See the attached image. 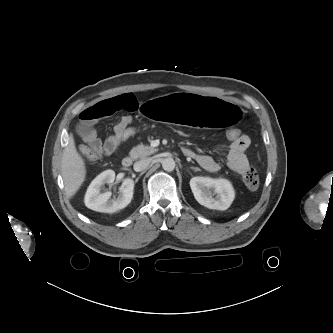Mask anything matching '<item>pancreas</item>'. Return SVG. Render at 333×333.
Instances as JSON below:
<instances>
[{"mask_svg": "<svg viewBox=\"0 0 333 333\" xmlns=\"http://www.w3.org/2000/svg\"><path fill=\"white\" fill-rule=\"evenodd\" d=\"M158 149L150 147V146H144L143 144L141 145H137L135 147H133V149L130 151V155L131 157L137 159V158H141L144 159L147 156L157 152Z\"/></svg>", "mask_w": 333, "mask_h": 333, "instance_id": "pancreas-1", "label": "pancreas"}]
</instances>
